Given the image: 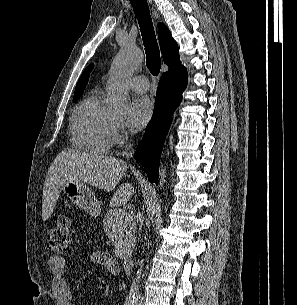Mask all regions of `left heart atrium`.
I'll return each instance as SVG.
<instances>
[{
    "label": "left heart atrium",
    "instance_id": "39dd6f15",
    "mask_svg": "<svg viewBox=\"0 0 297 305\" xmlns=\"http://www.w3.org/2000/svg\"><path fill=\"white\" fill-rule=\"evenodd\" d=\"M154 111V105L150 98L139 96L132 100L129 106L127 125L133 131L144 128L150 121Z\"/></svg>",
    "mask_w": 297,
    "mask_h": 305
}]
</instances>
